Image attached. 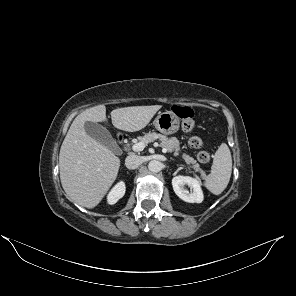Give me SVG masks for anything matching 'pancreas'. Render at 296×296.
Masks as SVG:
<instances>
[{
    "label": "pancreas",
    "instance_id": "obj_1",
    "mask_svg": "<svg viewBox=\"0 0 296 296\" xmlns=\"http://www.w3.org/2000/svg\"><path fill=\"white\" fill-rule=\"evenodd\" d=\"M159 139L161 141L160 146L162 148L167 149L169 152H174V156H178L180 153V143L179 140L176 137L168 138L166 136H163L161 134H157L155 132H149L145 134L144 136L138 137V140L140 142H144L146 145L148 143L153 142L154 140ZM182 158L185 160V162L188 165H191V167L196 171L200 172L202 176H204L203 170L200 168V165L196 162V160L192 157H190L188 154H182Z\"/></svg>",
    "mask_w": 296,
    "mask_h": 296
}]
</instances>
